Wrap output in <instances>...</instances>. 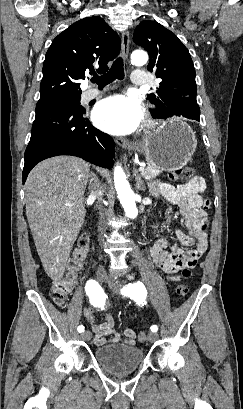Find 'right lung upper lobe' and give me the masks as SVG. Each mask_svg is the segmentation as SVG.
Here are the masks:
<instances>
[{"instance_id": "cb5924a9", "label": "right lung upper lobe", "mask_w": 243, "mask_h": 409, "mask_svg": "<svg viewBox=\"0 0 243 409\" xmlns=\"http://www.w3.org/2000/svg\"><path fill=\"white\" fill-rule=\"evenodd\" d=\"M120 45L119 36L100 17L73 23L46 53L38 102L80 96L79 80L94 72V66L98 72L107 71V63L117 56Z\"/></svg>"}]
</instances>
